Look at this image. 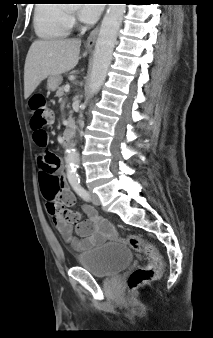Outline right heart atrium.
Segmentation results:
<instances>
[{
	"mask_svg": "<svg viewBox=\"0 0 213 338\" xmlns=\"http://www.w3.org/2000/svg\"><path fill=\"white\" fill-rule=\"evenodd\" d=\"M66 20L68 24H73L75 22V17L73 14H67Z\"/></svg>",
	"mask_w": 213,
	"mask_h": 338,
	"instance_id": "d8ad5b80",
	"label": "right heart atrium"
}]
</instances>
